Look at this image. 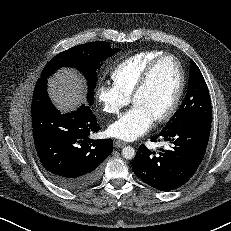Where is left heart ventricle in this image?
Returning a JSON list of instances; mask_svg holds the SVG:
<instances>
[{"label": "left heart ventricle", "instance_id": "left-heart-ventricle-1", "mask_svg": "<svg viewBox=\"0 0 231 231\" xmlns=\"http://www.w3.org/2000/svg\"><path fill=\"white\" fill-rule=\"evenodd\" d=\"M179 83L176 62L167 58L154 68L144 90L134 100V105L149 111L154 118L164 113L170 106Z\"/></svg>", "mask_w": 231, "mask_h": 231}]
</instances>
